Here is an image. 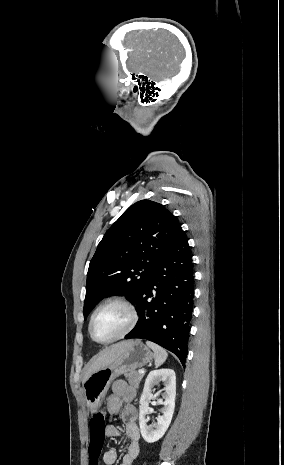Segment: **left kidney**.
I'll return each instance as SVG.
<instances>
[{
  "label": "left kidney",
  "instance_id": "1",
  "mask_svg": "<svg viewBox=\"0 0 284 465\" xmlns=\"http://www.w3.org/2000/svg\"><path fill=\"white\" fill-rule=\"evenodd\" d=\"M160 381L164 383V389H162V391H165L162 395L163 399H158V405H164L163 409L160 411L163 415H158V423H154V425H150V427H148L146 415H148L150 409L149 401L154 399L151 393L152 387L153 385L160 383ZM175 397L176 377L174 371H172V369L151 371L145 381L139 403L140 431L144 441H147V443H156V441H159V439H162L163 435H165L172 421L175 409Z\"/></svg>",
  "mask_w": 284,
  "mask_h": 465
}]
</instances>
